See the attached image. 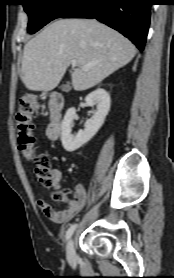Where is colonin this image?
Returning <instances> with one entry per match:
<instances>
[{"mask_svg": "<svg viewBox=\"0 0 174 278\" xmlns=\"http://www.w3.org/2000/svg\"><path fill=\"white\" fill-rule=\"evenodd\" d=\"M38 109L39 105L34 97L26 96L20 100L15 114L18 147L26 158H35L34 175L38 183L45 188L51 189L55 184L56 172L51 166L50 157L47 154H40L35 157L33 151L34 139L32 136L33 125L31 118ZM62 195L63 193L58 192L54 194V197L59 199L62 198Z\"/></svg>", "mask_w": 174, "mask_h": 278, "instance_id": "1", "label": "colon"}]
</instances>
